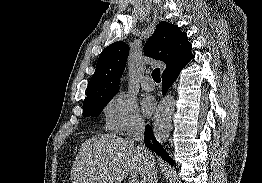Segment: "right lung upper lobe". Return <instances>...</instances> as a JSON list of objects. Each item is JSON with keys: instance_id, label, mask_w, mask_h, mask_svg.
I'll list each match as a JSON object with an SVG mask.
<instances>
[{"instance_id": "right-lung-upper-lobe-1", "label": "right lung upper lobe", "mask_w": 262, "mask_h": 183, "mask_svg": "<svg viewBox=\"0 0 262 183\" xmlns=\"http://www.w3.org/2000/svg\"><path fill=\"white\" fill-rule=\"evenodd\" d=\"M191 48L186 33L180 31L177 25L162 21L145 44L144 52L166 64L162 74L164 76L181 71L186 66L194 57ZM128 54L129 46L125 42H115L102 51L88 84L84 102L111 97L117 93Z\"/></svg>"}]
</instances>
